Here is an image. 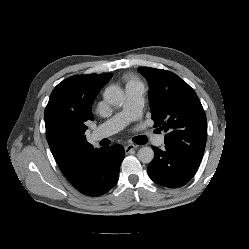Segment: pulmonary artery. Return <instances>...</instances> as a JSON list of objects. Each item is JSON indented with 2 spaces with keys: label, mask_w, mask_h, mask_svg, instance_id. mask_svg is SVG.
<instances>
[{
  "label": "pulmonary artery",
  "mask_w": 249,
  "mask_h": 249,
  "mask_svg": "<svg viewBox=\"0 0 249 249\" xmlns=\"http://www.w3.org/2000/svg\"><path fill=\"white\" fill-rule=\"evenodd\" d=\"M126 94L127 100L124 110L97 127L91 134L93 140L98 141L118 132L129 121L140 116L143 105V86L126 87ZM146 138L159 148H163L165 145L164 134H155L148 131L146 132Z\"/></svg>",
  "instance_id": "obj_1"
}]
</instances>
